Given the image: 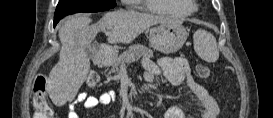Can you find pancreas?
Returning a JSON list of instances; mask_svg holds the SVG:
<instances>
[{
    "instance_id": "cf45deb5",
    "label": "pancreas",
    "mask_w": 273,
    "mask_h": 118,
    "mask_svg": "<svg viewBox=\"0 0 273 118\" xmlns=\"http://www.w3.org/2000/svg\"><path fill=\"white\" fill-rule=\"evenodd\" d=\"M151 57H153L152 50H150L144 45L134 44L115 59L111 72L118 73L121 70V68H124L126 65L134 62L139 58L149 59Z\"/></svg>"
}]
</instances>
